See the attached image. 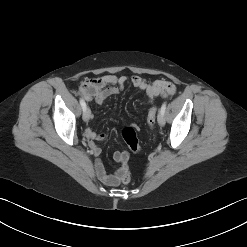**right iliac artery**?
<instances>
[{
	"label": "right iliac artery",
	"instance_id": "82829eb1",
	"mask_svg": "<svg viewBox=\"0 0 247 247\" xmlns=\"http://www.w3.org/2000/svg\"><path fill=\"white\" fill-rule=\"evenodd\" d=\"M80 104H81L83 111H85L86 110V103L82 98H80Z\"/></svg>",
	"mask_w": 247,
	"mask_h": 247
}]
</instances>
